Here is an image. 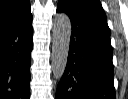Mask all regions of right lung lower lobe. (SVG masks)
Returning <instances> with one entry per match:
<instances>
[{
    "instance_id": "98d812e1",
    "label": "right lung lower lobe",
    "mask_w": 128,
    "mask_h": 99,
    "mask_svg": "<svg viewBox=\"0 0 128 99\" xmlns=\"http://www.w3.org/2000/svg\"><path fill=\"white\" fill-rule=\"evenodd\" d=\"M30 9L0 28V99L30 98Z\"/></svg>"
}]
</instances>
